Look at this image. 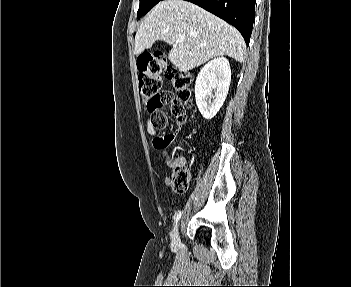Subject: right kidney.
Returning <instances> with one entry per match:
<instances>
[{"label": "right kidney", "instance_id": "ca27d5eb", "mask_svg": "<svg viewBox=\"0 0 351 287\" xmlns=\"http://www.w3.org/2000/svg\"><path fill=\"white\" fill-rule=\"evenodd\" d=\"M230 81V64L224 57L212 59L200 70L195 82V99L205 119H212L222 107Z\"/></svg>", "mask_w": 351, "mask_h": 287}]
</instances>
